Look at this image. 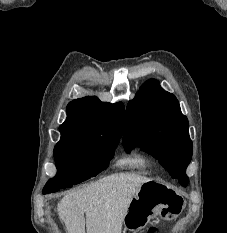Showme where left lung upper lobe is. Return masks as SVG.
<instances>
[{
  "label": "left lung upper lobe",
  "instance_id": "obj_1",
  "mask_svg": "<svg viewBox=\"0 0 227 233\" xmlns=\"http://www.w3.org/2000/svg\"><path fill=\"white\" fill-rule=\"evenodd\" d=\"M188 127L176 97L150 79L127 105L122 143L125 149L140 146L187 186L185 170L193 149Z\"/></svg>",
  "mask_w": 227,
  "mask_h": 233
}]
</instances>
